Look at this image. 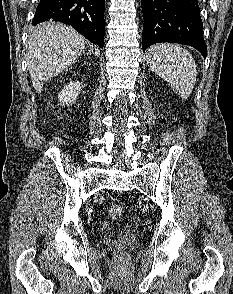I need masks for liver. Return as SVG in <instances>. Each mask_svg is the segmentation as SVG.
I'll return each instance as SVG.
<instances>
[{
	"label": "liver",
	"mask_w": 233,
	"mask_h": 294,
	"mask_svg": "<svg viewBox=\"0 0 233 294\" xmlns=\"http://www.w3.org/2000/svg\"><path fill=\"white\" fill-rule=\"evenodd\" d=\"M84 48V38L69 26L46 22L35 27L29 36L27 65L36 92L72 65Z\"/></svg>",
	"instance_id": "obj_1"
}]
</instances>
